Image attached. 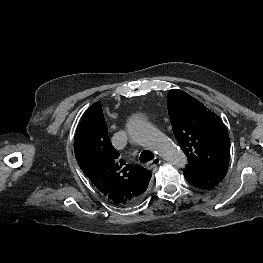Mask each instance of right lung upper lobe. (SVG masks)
<instances>
[{"label": "right lung upper lobe", "mask_w": 263, "mask_h": 263, "mask_svg": "<svg viewBox=\"0 0 263 263\" xmlns=\"http://www.w3.org/2000/svg\"><path fill=\"white\" fill-rule=\"evenodd\" d=\"M75 156L85 176L111 202L130 205L147 189L152 173L126 164L111 145L100 102L83 114L74 138Z\"/></svg>", "instance_id": "1"}]
</instances>
